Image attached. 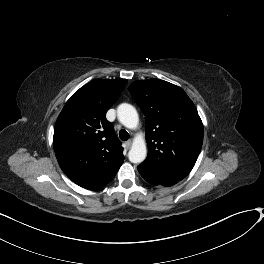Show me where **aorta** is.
I'll list each match as a JSON object with an SVG mask.
<instances>
[{
	"instance_id": "762f6f07",
	"label": "aorta",
	"mask_w": 264,
	"mask_h": 264,
	"mask_svg": "<svg viewBox=\"0 0 264 264\" xmlns=\"http://www.w3.org/2000/svg\"><path fill=\"white\" fill-rule=\"evenodd\" d=\"M118 120L127 128L134 129L137 127L139 117L136 109L128 103H122L117 108ZM147 148L142 138H136L128 153L130 162L141 163L145 160Z\"/></svg>"
}]
</instances>
